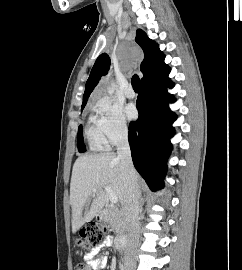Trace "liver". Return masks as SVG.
I'll list each match as a JSON object with an SVG mask.
<instances>
[{
    "mask_svg": "<svg viewBox=\"0 0 242 270\" xmlns=\"http://www.w3.org/2000/svg\"><path fill=\"white\" fill-rule=\"evenodd\" d=\"M137 183L139 175L136 173ZM109 186L121 203L125 201L126 184L121 161L114 153L84 155L75 161L71 184L72 232L91 221L105 206ZM96 188L93 193L92 189Z\"/></svg>",
    "mask_w": 242,
    "mask_h": 270,
    "instance_id": "1",
    "label": "liver"
}]
</instances>
